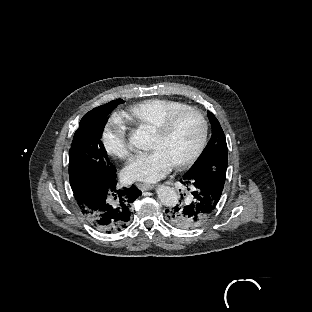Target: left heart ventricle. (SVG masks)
<instances>
[{"mask_svg": "<svg viewBox=\"0 0 312 312\" xmlns=\"http://www.w3.org/2000/svg\"><path fill=\"white\" fill-rule=\"evenodd\" d=\"M202 141L200 120L194 115L176 119L166 136L168 158L174 163L187 161Z\"/></svg>", "mask_w": 312, "mask_h": 312, "instance_id": "b2bd125f", "label": "left heart ventricle"}]
</instances>
